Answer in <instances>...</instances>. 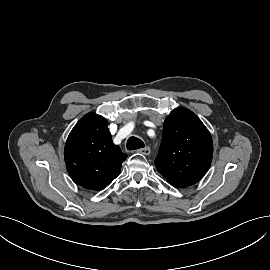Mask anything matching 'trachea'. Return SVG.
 Masks as SVG:
<instances>
[{
	"mask_svg": "<svg viewBox=\"0 0 270 270\" xmlns=\"http://www.w3.org/2000/svg\"><path fill=\"white\" fill-rule=\"evenodd\" d=\"M145 146L144 142L137 137H130L127 141L128 150H136L143 148Z\"/></svg>",
	"mask_w": 270,
	"mask_h": 270,
	"instance_id": "trachea-1",
	"label": "trachea"
}]
</instances>
